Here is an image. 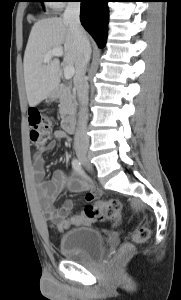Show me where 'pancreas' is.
Returning a JSON list of instances; mask_svg holds the SVG:
<instances>
[{
    "mask_svg": "<svg viewBox=\"0 0 181 300\" xmlns=\"http://www.w3.org/2000/svg\"><path fill=\"white\" fill-rule=\"evenodd\" d=\"M57 96L59 97L60 105L59 112L62 118L74 113L76 109V94L71 87H61Z\"/></svg>",
    "mask_w": 181,
    "mask_h": 300,
    "instance_id": "1",
    "label": "pancreas"
}]
</instances>
